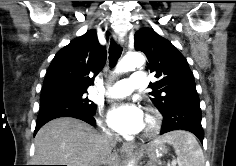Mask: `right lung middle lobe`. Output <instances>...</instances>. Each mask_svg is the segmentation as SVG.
Segmentation results:
<instances>
[{"instance_id":"1","label":"right lung middle lobe","mask_w":236,"mask_h":166,"mask_svg":"<svg viewBox=\"0 0 236 166\" xmlns=\"http://www.w3.org/2000/svg\"><path fill=\"white\" fill-rule=\"evenodd\" d=\"M87 90L56 86L41 92L39 113L55 112L65 109H83L95 113L96 106L86 97Z\"/></svg>"}]
</instances>
